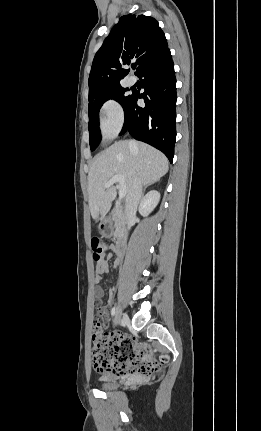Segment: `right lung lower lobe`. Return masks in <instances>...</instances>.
<instances>
[{
	"mask_svg": "<svg viewBox=\"0 0 261 431\" xmlns=\"http://www.w3.org/2000/svg\"><path fill=\"white\" fill-rule=\"evenodd\" d=\"M144 78V92H133L124 113L125 122L120 134L129 133L162 151L170 162L173 160L176 140V78L171 53L167 47L149 61L138 73ZM144 99L145 107L137 105Z\"/></svg>",
	"mask_w": 261,
	"mask_h": 431,
	"instance_id": "98d812e1",
	"label": "right lung lower lobe"
}]
</instances>
